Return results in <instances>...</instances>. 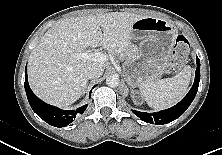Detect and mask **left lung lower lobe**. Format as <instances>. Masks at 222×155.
Returning a JSON list of instances; mask_svg holds the SVG:
<instances>
[{
	"mask_svg": "<svg viewBox=\"0 0 222 155\" xmlns=\"http://www.w3.org/2000/svg\"><path fill=\"white\" fill-rule=\"evenodd\" d=\"M196 62H197V69H196L194 84L190 89V91L188 92V94L178 104L169 109L162 110L157 113H145L136 110H132V112L136 116H138L142 121L151 124L155 123L157 125L167 124L180 117L190 106L198 90L199 81H200V61L198 57L196 59Z\"/></svg>",
	"mask_w": 222,
	"mask_h": 155,
	"instance_id": "1",
	"label": "left lung lower lobe"
}]
</instances>
